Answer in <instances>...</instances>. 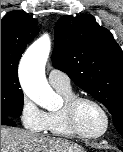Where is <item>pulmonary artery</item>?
<instances>
[{
    "instance_id": "obj_1",
    "label": "pulmonary artery",
    "mask_w": 123,
    "mask_h": 152,
    "mask_svg": "<svg viewBox=\"0 0 123 152\" xmlns=\"http://www.w3.org/2000/svg\"><path fill=\"white\" fill-rule=\"evenodd\" d=\"M48 81L54 88L71 89L69 76L58 69H51L49 71Z\"/></svg>"
}]
</instances>
